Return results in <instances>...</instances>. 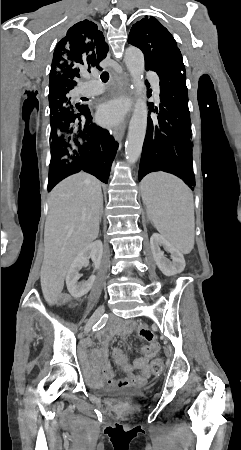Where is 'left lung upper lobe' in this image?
<instances>
[{
  "instance_id": "obj_1",
  "label": "left lung upper lobe",
  "mask_w": 241,
  "mask_h": 450,
  "mask_svg": "<svg viewBox=\"0 0 241 450\" xmlns=\"http://www.w3.org/2000/svg\"><path fill=\"white\" fill-rule=\"evenodd\" d=\"M128 43L144 54L145 65H154L161 59L182 57L169 31L154 17L141 19L131 28Z\"/></svg>"
}]
</instances>
